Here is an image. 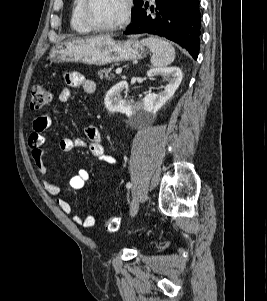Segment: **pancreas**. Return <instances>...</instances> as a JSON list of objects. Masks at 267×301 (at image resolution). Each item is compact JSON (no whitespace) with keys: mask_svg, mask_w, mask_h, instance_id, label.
<instances>
[{"mask_svg":"<svg viewBox=\"0 0 267 301\" xmlns=\"http://www.w3.org/2000/svg\"><path fill=\"white\" fill-rule=\"evenodd\" d=\"M113 69V67H109V68H104V69H100L98 71V75L100 78H103L105 76L106 79L110 80L111 77L109 76V74H111V70Z\"/></svg>","mask_w":267,"mask_h":301,"instance_id":"1","label":"pancreas"}]
</instances>
